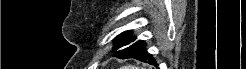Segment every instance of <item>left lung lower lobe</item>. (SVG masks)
Wrapping results in <instances>:
<instances>
[{
  "label": "left lung lower lobe",
  "instance_id": "left-lung-lower-lobe-1",
  "mask_svg": "<svg viewBox=\"0 0 246 69\" xmlns=\"http://www.w3.org/2000/svg\"><path fill=\"white\" fill-rule=\"evenodd\" d=\"M145 42L144 41H137L127 48H124L120 51H117L114 56L121 58V59H126V58H134L139 61L143 62H148L151 65L157 66L158 64L156 63L155 59L151 54L147 52L145 49Z\"/></svg>",
  "mask_w": 246,
  "mask_h": 69
}]
</instances>
